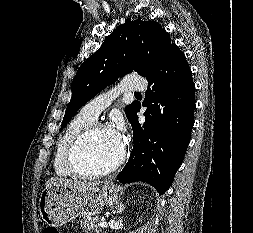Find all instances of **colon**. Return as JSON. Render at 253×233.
<instances>
[{"label":"colon","instance_id":"colon-1","mask_svg":"<svg viewBox=\"0 0 253 233\" xmlns=\"http://www.w3.org/2000/svg\"><path fill=\"white\" fill-rule=\"evenodd\" d=\"M43 233H60L59 230L55 227H46L43 230Z\"/></svg>","mask_w":253,"mask_h":233}]
</instances>
